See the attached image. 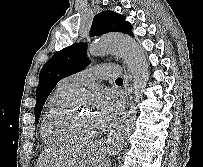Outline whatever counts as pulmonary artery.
<instances>
[{
    "label": "pulmonary artery",
    "instance_id": "e3ab8cb5",
    "mask_svg": "<svg viewBox=\"0 0 203 167\" xmlns=\"http://www.w3.org/2000/svg\"><path fill=\"white\" fill-rule=\"evenodd\" d=\"M120 74V68L113 64L91 66L81 72L70 75L63 82L75 89L86 86L98 78H115Z\"/></svg>",
    "mask_w": 203,
    "mask_h": 167
}]
</instances>
